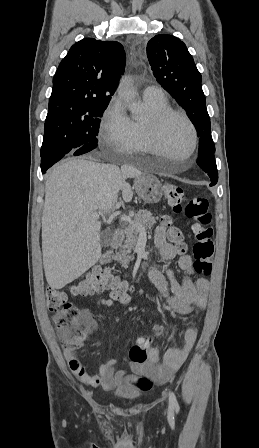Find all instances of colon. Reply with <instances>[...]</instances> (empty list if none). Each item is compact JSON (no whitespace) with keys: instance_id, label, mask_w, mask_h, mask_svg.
Here are the masks:
<instances>
[{"instance_id":"1","label":"colon","mask_w":259,"mask_h":448,"mask_svg":"<svg viewBox=\"0 0 259 448\" xmlns=\"http://www.w3.org/2000/svg\"><path fill=\"white\" fill-rule=\"evenodd\" d=\"M164 198L175 212H183L191 220L196 240L193 247L195 258L193 265L197 273L209 275L212 270L214 243L208 200L203 196L186 199L182 187L174 183L164 185ZM163 223L170 225V218L164 217ZM168 236L181 252L185 251L183 233L179 228L171 226ZM127 290L128 285L123 280L105 269L92 270L69 291L48 288L47 306L65 348L71 350L79 348L94 326L93 318L87 310L79 309L69 302L70 295L90 296L105 291H110V294H123L127 293ZM150 341L149 337L138 339L136 345L130 349L129 356L132 362H146Z\"/></svg>"}]
</instances>
